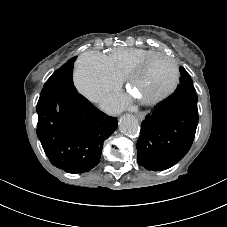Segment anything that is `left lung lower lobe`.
Listing matches in <instances>:
<instances>
[{
    "label": "left lung lower lobe",
    "mask_w": 227,
    "mask_h": 227,
    "mask_svg": "<svg viewBox=\"0 0 227 227\" xmlns=\"http://www.w3.org/2000/svg\"><path fill=\"white\" fill-rule=\"evenodd\" d=\"M197 124L195 91L175 92L159 102L142 122L136 144L138 164L154 171L175 165L189 151Z\"/></svg>",
    "instance_id": "1"
}]
</instances>
